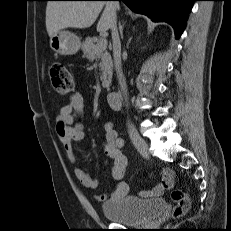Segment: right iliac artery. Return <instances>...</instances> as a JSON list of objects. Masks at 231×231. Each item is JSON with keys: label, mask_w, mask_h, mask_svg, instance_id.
<instances>
[{"label": "right iliac artery", "mask_w": 231, "mask_h": 231, "mask_svg": "<svg viewBox=\"0 0 231 231\" xmlns=\"http://www.w3.org/2000/svg\"><path fill=\"white\" fill-rule=\"evenodd\" d=\"M119 145H120V147L124 146V140L122 138H120V140H119Z\"/></svg>", "instance_id": "right-iliac-artery-1"}]
</instances>
